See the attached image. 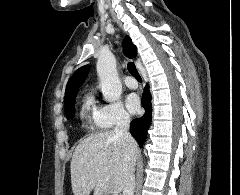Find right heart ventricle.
Masks as SVG:
<instances>
[{
  "instance_id": "obj_1",
  "label": "right heart ventricle",
  "mask_w": 240,
  "mask_h": 195,
  "mask_svg": "<svg viewBox=\"0 0 240 195\" xmlns=\"http://www.w3.org/2000/svg\"><path fill=\"white\" fill-rule=\"evenodd\" d=\"M98 108L94 97L89 95L83 102L80 116L84 124L92 131H105L108 127L97 117Z\"/></svg>"
}]
</instances>
